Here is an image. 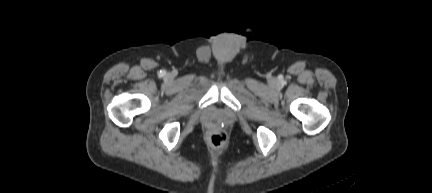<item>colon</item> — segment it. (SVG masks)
I'll use <instances>...</instances> for the list:
<instances>
[{
    "label": "colon",
    "instance_id": "colon-1",
    "mask_svg": "<svg viewBox=\"0 0 432 193\" xmlns=\"http://www.w3.org/2000/svg\"><path fill=\"white\" fill-rule=\"evenodd\" d=\"M226 135L221 131H217L210 136V141L213 146L221 147L226 143Z\"/></svg>",
    "mask_w": 432,
    "mask_h": 193
}]
</instances>
